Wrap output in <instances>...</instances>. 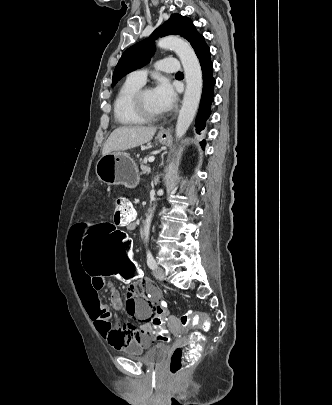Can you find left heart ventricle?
I'll use <instances>...</instances> for the list:
<instances>
[{"instance_id":"obj_1","label":"left heart ventricle","mask_w":332,"mask_h":405,"mask_svg":"<svg viewBox=\"0 0 332 405\" xmlns=\"http://www.w3.org/2000/svg\"><path fill=\"white\" fill-rule=\"evenodd\" d=\"M144 104L148 112L153 115H161L163 113L156 103L153 90H148L144 94Z\"/></svg>"}]
</instances>
